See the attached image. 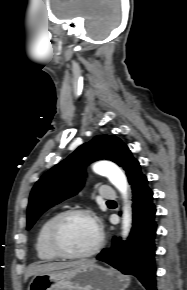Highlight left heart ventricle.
Returning a JSON list of instances; mask_svg holds the SVG:
<instances>
[{"instance_id": "obj_1", "label": "left heart ventricle", "mask_w": 187, "mask_h": 290, "mask_svg": "<svg viewBox=\"0 0 187 290\" xmlns=\"http://www.w3.org/2000/svg\"><path fill=\"white\" fill-rule=\"evenodd\" d=\"M98 239L94 223L84 216L68 218L59 230V240L62 247L73 253L90 250Z\"/></svg>"}]
</instances>
